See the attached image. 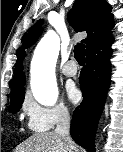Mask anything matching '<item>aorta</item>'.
<instances>
[{"mask_svg":"<svg viewBox=\"0 0 123 152\" xmlns=\"http://www.w3.org/2000/svg\"><path fill=\"white\" fill-rule=\"evenodd\" d=\"M59 49L58 36L48 32L36 46L31 61L32 93L37 102L46 107L55 105L58 98L55 67Z\"/></svg>","mask_w":123,"mask_h":152,"instance_id":"obj_1","label":"aorta"}]
</instances>
